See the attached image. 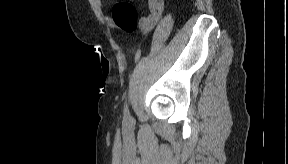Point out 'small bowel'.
Here are the masks:
<instances>
[{
    "label": "small bowel",
    "mask_w": 288,
    "mask_h": 164,
    "mask_svg": "<svg viewBox=\"0 0 288 164\" xmlns=\"http://www.w3.org/2000/svg\"><path fill=\"white\" fill-rule=\"evenodd\" d=\"M150 14L142 19L143 29L150 30L159 20L164 11V2L162 0L149 1Z\"/></svg>",
    "instance_id": "small-bowel-1"
}]
</instances>
